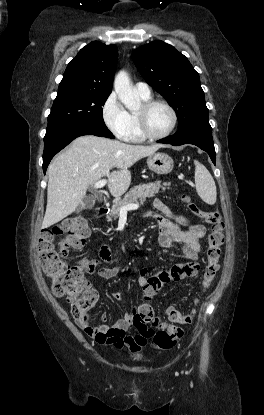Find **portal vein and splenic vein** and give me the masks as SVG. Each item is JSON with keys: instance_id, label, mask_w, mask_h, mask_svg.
<instances>
[{"instance_id": "portal-vein-and-splenic-vein-1", "label": "portal vein and splenic vein", "mask_w": 264, "mask_h": 415, "mask_svg": "<svg viewBox=\"0 0 264 415\" xmlns=\"http://www.w3.org/2000/svg\"><path fill=\"white\" fill-rule=\"evenodd\" d=\"M107 181L105 179L99 180L98 182L94 183V188H103L106 185ZM139 208L138 204H128L120 209V214H127L128 211L136 210Z\"/></svg>"}]
</instances>
